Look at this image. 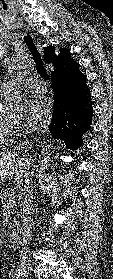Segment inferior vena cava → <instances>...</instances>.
Listing matches in <instances>:
<instances>
[{
	"instance_id": "1",
	"label": "inferior vena cava",
	"mask_w": 113,
	"mask_h": 279,
	"mask_svg": "<svg viewBox=\"0 0 113 279\" xmlns=\"http://www.w3.org/2000/svg\"><path fill=\"white\" fill-rule=\"evenodd\" d=\"M29 141L22 142L18 150L22 152H27ZM24 201H23V231H22V250L19 254V268L22 271H26L28 267V246L32 238V229H33V214H34V205H33V179L32 174H28L24 182Z\"/></svg>"
}]
</instances>
